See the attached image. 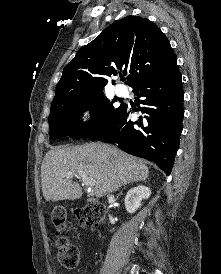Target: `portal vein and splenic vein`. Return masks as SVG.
<instances>
[{"label": "portal vein and splenic vein", "mask_w": 221, "mask_h": 274, "mask_svg": "<svg viewBox=\"0 0 221 274\" xmlns=\"http://www.w3.org/2000/svg\"><path fill=\"white\" fill-rule=\"evenodd\" d=\"M79 178L82 179L84 185L88 186V187H92L95 185V180L91 177H88V175L82 171L77 172ZM75 175L74 172H69L67 173L64 177L66 178H72Z\"/></svg>", "instance_id": "portal-vein-and-splenic-vein-1"}]
</instances>
